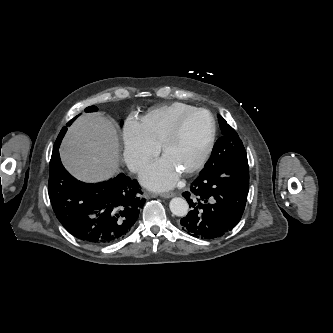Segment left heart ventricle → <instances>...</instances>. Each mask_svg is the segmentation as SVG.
Returning <instances> with one entry per match:
<instances>
[{
    "mask_svg": "<svg viewBox=\"0 0 333 333\" xmlns=\"http://www.w3.org/2000/svg\"><path fill=\"white\" fill-rule=\"evenodd\" d=\"M210 131V119L204 112L191 115L184 123L178 139L164 157L181 173L199 158Z\"/></svg>",
    "mask_w": 333,
    "mask_h": 333,
    "instance_id": "left-heart-ventricle-1",
    "label": "left heart ventricle"
}]
</instances>
